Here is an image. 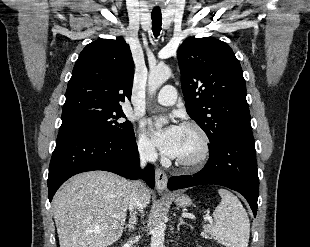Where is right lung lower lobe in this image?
Masks as SVG:
<instances>
[{
	"label": "right lung lower lobe",
	"mask_w": 310,
	"mask_h": 247,
	"mask_svg": "<svg viewBox=\"0 0 310 247\" xmlns=\"http://www.w3.org/2000/svg\"><path fill=\"white\" fill-rule=\"evenodd\" d=\"M92 170L109 171L129 179L143 178L151 188L155 184L152 165L140 170L133 131L113 137L92 129L60 130L49 166V201L67 179Z\"/></svg>",
	"instance_id": "98d812e1"
}]
</instances>
